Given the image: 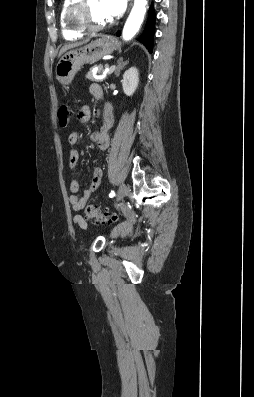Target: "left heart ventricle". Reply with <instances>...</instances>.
Listing matches in <instances>:
<instances>
[{"mask_svg": "<svg viewBox=\"0 0 254 397\" xmlns=\"http://www.w3.org/2000/svg\"><path fill=\"white\" fill-rule=\"evenodd\" d=\"M88 14L90 21L95 25L105 24L109 20L101 9L100 0L88 1Z\"/></svg>", "mask_w": 254, "mask_h": 397, "instance_id": "left-heart-ventricle-1", "label": "left heart ventricle"}]
</instances>
